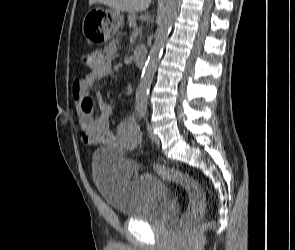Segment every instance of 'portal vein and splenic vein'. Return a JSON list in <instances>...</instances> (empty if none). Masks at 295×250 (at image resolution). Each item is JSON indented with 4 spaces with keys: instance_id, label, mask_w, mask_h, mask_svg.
<instances>
[{
    "instance_id": "portal-vein-and-splenic-vein-1",
    "label": "portal vein and splenic vein",
    "mask_w": 295,
    "mask_h": 250,
    "mask_svg": "<svg viewBox=\"0 0 295 250\" xmlns=\"http://www.w3.org/2000/svg\"><path fill=\"white\" fill-rule=\"evenodd\" d=\"M130 26L135 27L136 26V22H133L132 24H130Z\"/></svg>"
}]
</instances>
